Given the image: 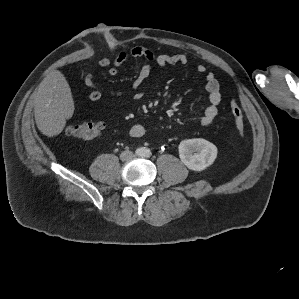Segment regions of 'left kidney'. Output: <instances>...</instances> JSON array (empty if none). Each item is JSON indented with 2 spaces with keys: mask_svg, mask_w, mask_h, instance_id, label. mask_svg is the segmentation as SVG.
Returning a JSON list of instances; mask_svg holds the SVG:
<instances>
[{
  "mask_svg": "<svg viewBox=\"0 0 299 299\" xmlns=\"http://www.w3.org/2000/svg\"><path fill=\"white\" fill-rule=\"evenodd\" d=\"M178 150L181 161L193 171L205 170L217 157V147L202 138L183 140Z\"/></svg>",
  "mask_w": 299,
  "mask_h": 299,
  "instance_id": "5707ae66",
  "label": "left kidney"
}]
</instances>
